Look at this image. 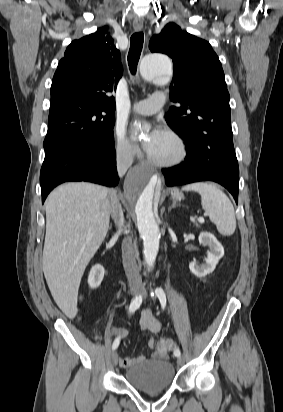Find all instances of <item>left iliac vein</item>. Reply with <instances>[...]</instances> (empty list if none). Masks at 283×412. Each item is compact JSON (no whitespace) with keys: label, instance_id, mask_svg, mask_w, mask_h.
Masks as SVG:
<instances>
[{"label":"left iliac vein","instance_id":"4c4485c4","mask_svg":"<svg viewBox=\"0 0 283 412\" xmlns=\"http://www.w3.org/2000/svg\"><path fill=\"white\" fill-rule=\"evenodd\" d=\"M141 293H142V295L146 298L147 297V291H146V289L145 288H142L141 289ZM177 363H178V365H183V363H184V359H183V357H178L177 358Z\"/></svg>","mask_w":283,"mask_h":412}]
</instances>
